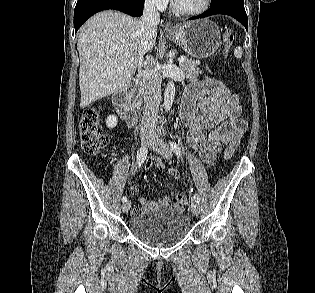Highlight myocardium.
Here are the masks:
<instances>
[{"label":"myocardium","mask_w":315,"mask_h":293,"mask_svg":"<svg viewBox=\"0 0 315 293\" xmlns=\"http://www.w3.org/2000/svg\"><path fill=\"white\" fill-rule=\"evenodd\" d=\"M172 1V8L173 10L180 14V15H184V16H196V15H200L202 13H204L205 11L208 10V8L210 7L211 5V2L212 0H205L204 1V4L198 8V9H195V10H186V9H183L178 3L176 0H171Z\"/></svg>","instance_id":"myocardium-1"}]
</instances>
